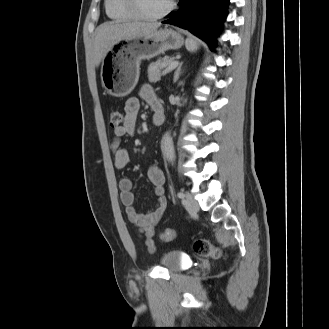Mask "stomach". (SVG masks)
<instances>
[{
    "label": "stomach",
    "instance_id": "stomach-1",
    "mask_svg": "<svg viewBox=\"0 0 329 329\" xmlns=\"http://www.w3.org/2000/svg\"><path fill=\"white\" fill-rule=\"evenodd\" d=\"M183 44V36L173 29H160L147 35L115 41L102 60L103 87L115 97L128 95L138 82L142 60L179 49Z\"/></svg>",
    "mask_w": 329,
    "mask_h": 329
}]
</instances>
